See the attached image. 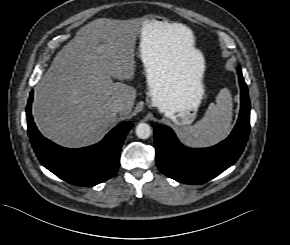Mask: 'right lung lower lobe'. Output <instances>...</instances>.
Returning a JSON list of instances; mask_svg holds the SVG:
<instances>
[{
    "instance_id": "1",
    "label": "right lung lower lobe",
    "mask_w": 290,
    "mask_h": 245,
    "mask_svg": "<svg viewBox=\"0 0 290 245\" xmlns=\"http://www.w3.org/2000/svg\"><path fill=\"white\" fill-rule=\"evenodd\" d=\"M31 91L26 108L27 129L32 147L41 164L66 182L77 186H94L113 177L119 166L120 150L133 127L123 122L113 128L105 138L92 146L69 149L46 139L36 128L31 105Z\"/></svg>"
}]
</instances>
